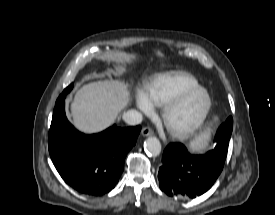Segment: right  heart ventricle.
<instances>
[{"label": "right heart ventricle", "instance_id": "e07e8e85", "mask_svg": "<svg viewBox=\"0 0 275 215\" xmlns=\"http://www.w3.org/2000/svg\"><path fill=\"white\" fill-rule=\"evenodd\" d=\"M199 86L198 80L190 73L173 71L159 74L151 81L147 95L156 106H165L180 92Z\"/></svg>", "mask_w": 275, "mask_h": 215}]
</instances>
